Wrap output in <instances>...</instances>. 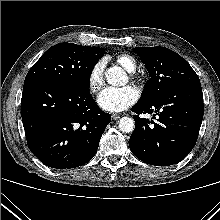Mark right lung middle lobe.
Segmentation results:
<instances>
[{"mask_svg": "<svg viewBox=\"0 0 220 220\" xmlns=\"http://www.w3.org/2000/svg\"><path fill=\"white\" fill-rule=\"evenodd\" d=\"M104 49L59 43L49 48L29 70L24 84L31 81L66 82L89 87L91 71Z\"/></svg>", "mask_w": 220, "mask_h": 220, "instance_id": "obj_1", "label": "right lung middle lobe"}]
</instances>
